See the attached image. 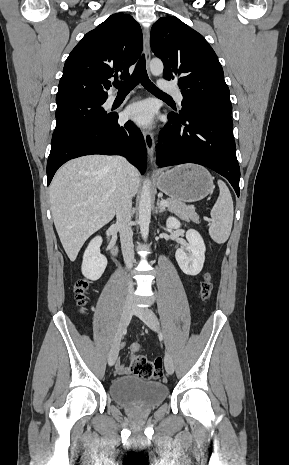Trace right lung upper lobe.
Listing matches in <instances>:
<instances>
[{
	"label": "right lung upper lobe",
	"instance_id": "right-lung-upper-lobe-1",
	"mask_svg": "<svg viewBox=\"0 0 289 465\" xmlns=\"http://www.w3.org/2000/svg\"><path fill=\"white\" fill-rule=\"evenodd\" d=\"M143 47L142 31L132 16L116 13L88 32L69 54L56 103L106 100L113 76L124 79Z\"/></svg>",
	"mask_w": 289,
	"mask_h": 465
}]
</instances>
